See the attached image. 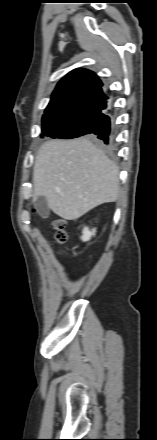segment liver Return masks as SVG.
<instances>
[{
    "label": "liver",
    "mask_w": 157,
    "mask_h": 440,
    "mask_svg": "<svg viewBox=\"0 0 157 440\" xmlns=\"http://www.w3.org/2000/svg\"><path fill=\"white\" fill-rule=\"evenodd\" d=\"M33 199L43 196L59 217L76 220L119 197V169L86 139L43 144L33 169Z\"/></svg>",
    "instance_id": "6515ba94"
}]
</instances>
